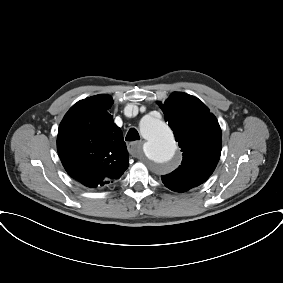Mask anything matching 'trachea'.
<instances>
[{
  "mask_svg": "<svg viewBox=\"0 0 283 283\" xmlns=\"http://www.w3.org/2000/svg\"><path fill=\"white\" fill-rule=\"evenodd\" d=\"M126 141L140 140L138 131L135 128H131L125 138Z\"/></svg>",
  "mask_w": 283,
  "mask_h": 283,
  "instance_id": "obj_1",
  "label": "trachea"
}]
</instances>
